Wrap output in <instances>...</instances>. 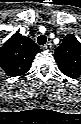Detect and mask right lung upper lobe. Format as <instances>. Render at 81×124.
Segmentation results:
<instances>
[{
  "mask_svg": "<svg viewBox=\"0 0 81 124\" xmlns=\"http://www.w3.org/2000/svg\"><path fill=\"white\" fill-rule=\"evenodd\" d=\"M38 52L40 48L31 38L16 32L0 49V67L10 77L22 76Z\"/></svg>",
  "mask_w": 81,
  "mask_h": 124,
  "instance_id": "obj_1",
  "label": "right lung upper lobe"
}]
</instances>
